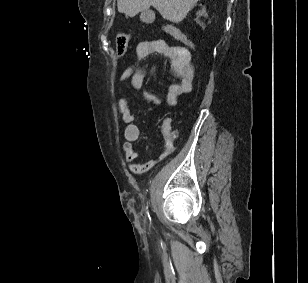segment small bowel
I'll return each instance as SVG.
<instances>
[{
  "mask_svg": "<svg viewBox=\"0 0 308 283\" xmlns=\"http://www.w3.org/2000/svg\"><path fill=\"white\" fill-rule=\"evenodd\" d=\"M159 54L170 59L171 68L180 78V82L170 86L163 101L149 92H143V96L150 103L152 109L159 108L162 103L166 106H174L179 97L188 93L195 78V70L191 63L190 52L184 48L173 46L163 40H144L136 47V55L139 58ZM144 71L141 69L128 68L125 69L120 77L119 82L125 83L129 81L134 89H140L144 82ZM118 110L121 114L122 121L125 123L123 151L126 160L129 162V169L136 174L149 171L158 161L166 158L175 150V139L171 134L168 125L164 126L165 146L157 158L149 160L145 163L139 162V155L135 148V143L140 138V128L134 123V115L130 110L129 102L125 98L118 101Z\"/></svg>",
  "mask_w": 308,
  "mask_h": 283,
  "instance_id": "c3829d8e",
  "label": "small bowel"
}]
</instances>
